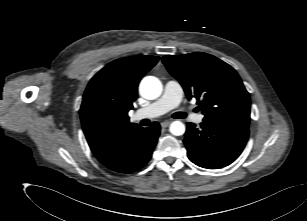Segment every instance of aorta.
<instances>
[{
    "label": "aorta",
    "mask_w": 307,
    "mask_h": 221,
    "mask_svg": "<svg viewBox=\"0 0 307 221\" xmlns=\"http://www.w3.org/2000/svg\"><path fill=\"white\" fill-rule=\"evenodd\" d=\"M139 92L142 97L153 100L158 98L162 92V84L156 77L147 76L142 79ZM170 132L175 136H180L185 133V125L180 121H174L170 125Z\"/></svg>",
    "instance_id": "aorta-1"
}]
</instances>
